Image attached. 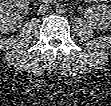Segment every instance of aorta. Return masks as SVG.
I'll return each mask as SVG.
<instances>
[{
    "mask_svg": "<svg viewBox=\"0 0 111 106\" xmlns=\"http://www.w3.org/2000/svg\"><path fill=\"white\" fill-rule=\"evenodd\" d=\"M55 10H56L57 13H62L64 11L62 5H57Z\"/></svg>",
    "mask_w": 111,
    "mask_h": 106,
    "instance_id": "762f6f07",
    "label": "aorta"
}]
</instances>
